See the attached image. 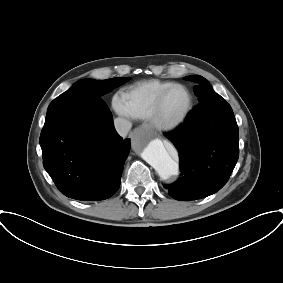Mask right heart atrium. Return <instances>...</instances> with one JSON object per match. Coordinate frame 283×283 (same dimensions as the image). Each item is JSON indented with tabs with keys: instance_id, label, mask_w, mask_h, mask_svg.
<instances>
[{
	"instance_id": "obj_1",
	"label": "right heart atrium",
	"mask_w": 283,
	"mask_h": 283,
	"mask_svg": "<svg viewBox=\"0 0 283 283\" xmlns=\"http://www.w3.org/2000/svg\"><path fill=\"white\" fill-rule=\"evenodd\" d=\"M113 107L117 114L125 117L130 116L121 97H114Z\"/></svg>"
}]
</instances>
